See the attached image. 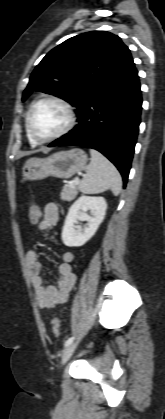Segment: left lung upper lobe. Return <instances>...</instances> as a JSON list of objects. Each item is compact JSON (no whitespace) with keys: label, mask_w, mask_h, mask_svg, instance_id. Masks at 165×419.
<instances>
[{"label":"left lung upper lobe","mask_w":165,"mask_h":419,"mask_svg":"<svg viewBox=\"0 0 165 419\" xmlns=\"http://www.w3.org/2000/svg\"><path fill=\"white\" fill-rule=\"evenodd\" d=\"M132 60L121 39L106 31L74 36L52 49L36 66L22 100L34 91L58 96L77 108Z\"/></svg>","instance_id":"5c2ea615"}]
</instances>
